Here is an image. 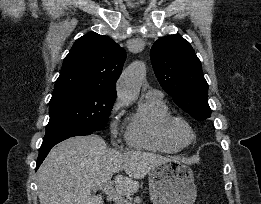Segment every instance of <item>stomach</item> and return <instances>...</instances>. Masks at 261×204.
<instances>
[{"label": "stomach", "instance_id": "1", "mask_svg": "<svg viewBox=\"0 0 261 204\" xmlns=\"http://www.w3.org/2000/svg\"><path fill=\"white\" fill-rule=\"evenodd\" d=\"M148 175L153 204H194L197 196L194 174L183 161L170 159L162 162Z\"/></svg>", "mask_w": 261, "mask_h": 204}]
</instances>
